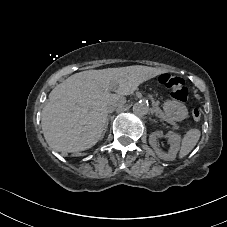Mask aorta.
Returning <instances> with one entry per match:
<instances>
[{
    "label": "aorta",
    "instance_id": "obj_1",
    "mask_svg": "<svg viewBox=\"0 0 227 227\" xmlns=\"http://www.w3.org/2000/svg\"><path fill=\"white\" fill-rule=\"evenodd\" d=\"M132 110L135 115L144 116L149 112V106L145 101H139L134 103Z\"/></svg>",
    "mask_w": 227,
    "mask_h": 227
}]
</instances>
